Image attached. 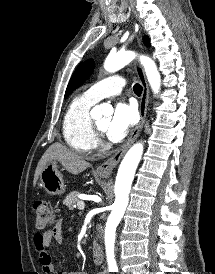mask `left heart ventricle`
I'll use <instances>...</instances> for the list:
<instances>
[{
  "label": "left heart ventricle",
  "mask_w": 215,
  "mask_h": 274,
  "mask_svg": "<svg viewBox=\"0 0 215 274\" xmlns=\"http://www.w3.org/2000/svg\"><path fill=\"white\" fill-rule=\"evenodd\" d=\"M95 122L99 126V128L104 131L107 128V125L109 123V119L108 118H102V119L96 120Z\"/></svg>",
  "instance_id": "obj_1"
}]
</instances>
